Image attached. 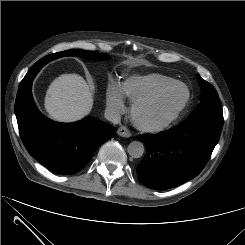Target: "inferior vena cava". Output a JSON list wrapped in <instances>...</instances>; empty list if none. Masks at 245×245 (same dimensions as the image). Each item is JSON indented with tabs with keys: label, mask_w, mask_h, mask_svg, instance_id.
Instances as JSON below:
<instances>
[{
	"label": "inferior vena cava",
	"mask_w": 245,
	"mask_h": 245,
	"mask_svg": "<svg viewBox=\"0 0 245 245\" xmlns=\"http://www.w3.org/2000/svg\"><path fill=\"white\" fill-rule=\"evenodd\" d=\"M104 116L108 121H110L114 124L120 123V120H121L120 114L118 111H116L114 109H111V108L106 109Z\"/></svg>",
	"instance_id": "602c4592"
}]
</instances>
